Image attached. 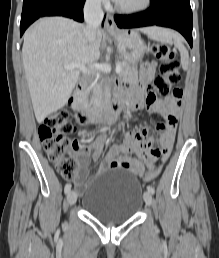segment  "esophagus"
Wrapping results in <instances>:
<instances>
[{
    "label": "esophagus",
    "instance_id": "1",
    "mask_svg": "<svg viewBox=\"0 0 219 258\" xmlns=\"http://www.w3.org/2000/svg\"><path fill=\"white\" fill-rule=\"evenodd\" d=\"M105 29L108 33H117L119 32L118 27L115 24L114 18L111 14L107 15L105 20Z\"/></svg>",
    "mask_w": 219,
    "mask_h": 258
}]
</instances>
